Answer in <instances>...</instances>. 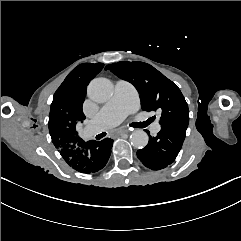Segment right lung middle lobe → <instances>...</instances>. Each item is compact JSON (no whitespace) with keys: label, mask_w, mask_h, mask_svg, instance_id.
Listing matches in <instances>:
<instances>
[{"label":"right lung middle lobe","mask_w":241,"mask_h":241,"mask_svg":"<svg viewBox=\"0 0 241 241\" xmlns=\"http://www.w3.org/2000/svg\"><path fill=\"white\" fill-rule=\"evenodd\" d=\"M103 63H83L74 68L54 94L58 100L78 90H86L89 82L102 70Z\"/></svg>","instance_id":"1"}]
</instances>
